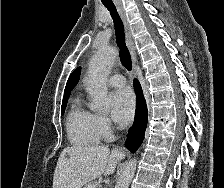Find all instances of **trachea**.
<instances>
[{
  "label": "trachea",
  "instance_id": "3493384b",
  "mask_svg": "<svg viewBox=\"0 0 224 188\" xmlns=\"http://www.w3.org/2000/svg\"><path fill=\"white\" fill-rule=\"evenodd\" d=\"M103 5L108 9V11L111 14V17L113 19L114 22V26H115V33H116V42L117 45L120 49V60L121 63L123 64V66L130 71L132 69V65H131V57H130V53L129 50L126 46L125 43V35H124V25L123 22L116 10V7L114 6L113 3H104Z\"/></svg>",
  "mask_w": 224,
  "mask_h": 188
}]
</instances>
